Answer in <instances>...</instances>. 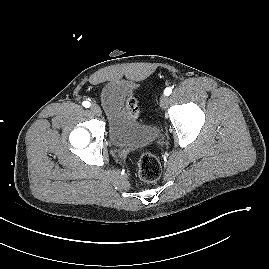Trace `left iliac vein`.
Instances as JSON below:
<instances>
[{"instance_id":"1","label":"left iliac vein","mask_w":269,"mask_h":269,"mask_svg":"<svg viewBox=\"0 0 269 269\" xmlns=\"http://www.w3.org/2000/svg\"><path fill=\"white\" fill-rule=\"evenodd\" d=\"M169 99L166 95H163L160 99V105L163 109L167 108Z\"/></svg>"}]
</instances>
